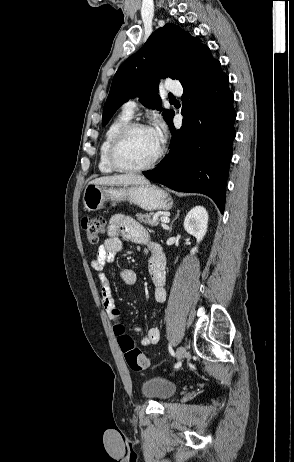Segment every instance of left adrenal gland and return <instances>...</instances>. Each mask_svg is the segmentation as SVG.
<instances>
[{"label": "left adrenal gland", "instance_id": "left-adrenal-gland-1", "mask_svg": "<svg viewBox=\"0 0 294 462\" xmlns=\"http://www.w3.org/2000/svg\"><path fill=\"white\" fill-rule=\"evenodd\" d=\"M179 214H180V210H177V214H176L175 218L172 220V222L170 224L169 233L172 230V226H173L174 221L179 217Z\"/></svg>", "mask_w": 294, "mask_h": 462}]
</instances>
